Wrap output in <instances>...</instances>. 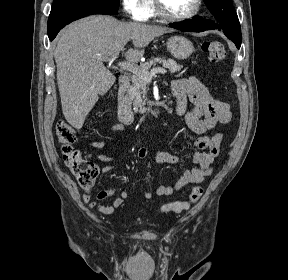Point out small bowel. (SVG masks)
<instances>
[{
	"instance_id": "small-bowel-1",
	"label": "small bowel",
	"mask_w": 288,
	"mask_h": 280,
	"mask_svg": "<svg viewBox=\"0 0 288 280\" xmlns=\"http://www.w3.org/2000/svg\"><path fill=\"white\" fill-rule=\"evenodd\" d=\"M171 89L176 100L175 113L179 115L185 113L184 123L181 128L194 136L192 142L194 146L192 154L194 166L185 170L175 183L162 184L154 191L145 190L143 196L146 199H151L155 196H168L188 185L203 182L212 173V165L219 154L223 138L221 133L210 136L207 132L218 123H229L232 118L230 105L213 97L207 87L194 76L173 81ZM187 101L192 105L188 111H186ZM123 128L122 125H115L111 132L121 131ZM105 143L106 137L92 142L91 145L94 148L101 149ZM147 154L148 151L145 147H140L136 151V155L140 159H144ZM97 158L104 163L101 168L102 173H109L114 167L115 161L113 158L102 153H98ZM156 161L160 164H175L179 161V158L169 152L159 151L156 154ZM115 191L116 188L101 191L96 199L103 200L111 197ZM128 197L129 193L124 190L120 192L118 197L113 199L110 205L99 204L88 193L83 195V200L89 204L91 209L102 214H111L121 207Z\"/></svg>"
}]
</instances>
